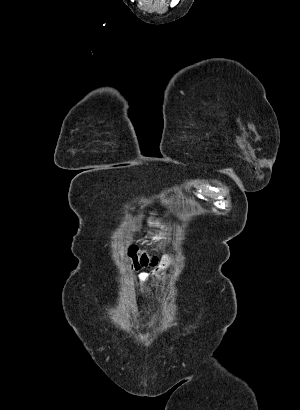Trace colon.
Returning a JSON list of instances; mask_svg holds the SVG:
<instances>
[{
    "instance_id": "5ec220e1",
    "label": "colon",
    "mask_w": 300,
    "mask_h": 410,
    "mask_svg": "<svg viewBox=\"0 0 300 410\" xmlns=\"http://www.w3.org/2000/svg\"><path fill=\"white\" fill-rule=\"evenodd\" d=\"M128 257L134 268L154 266L157 263L156 257H151L144 251L135 248L128 251Z\"/></svg>"
}]
</instances>
